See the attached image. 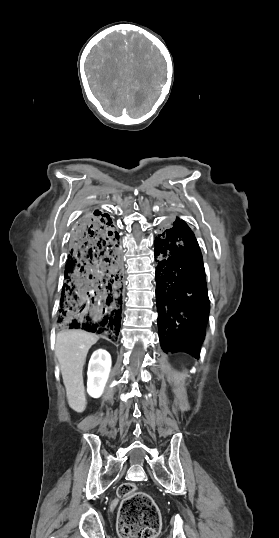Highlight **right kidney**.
Returning a JSON list of instances; mask_svg holds the SVG:
<instances>
[{"label": "right kidney", "instance_id": "obj_1", "mask_svg": "<svg viewBox=\"0 0 279 538\" xmlns=\"http://www.w3.org/2000/svg\"><path fill=\"white\" fill-rule=\"evenodd\" d=\"M111 356L106 350H96L88 364L87 392L92 398H100L111 370Z\"/></svg>", "mask_w": 279, "mask_h": 538}]
</instances>
